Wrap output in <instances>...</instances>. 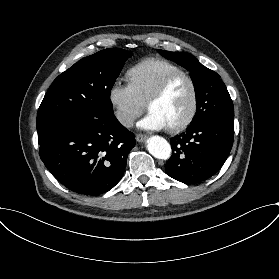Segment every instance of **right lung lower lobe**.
<instances>
[{
    "label": "right lung lower lobe",
    "instance_id": "right-lung-lower-lobe-1",
    "mask_svg": "<svg viewBox=\"0 0 279 279\" xmlns=\"http://www.w3.org/2000/svg\"><path fill=\"white\" fill-rule=\"evenodd\" d=\"M39 154L47 169L69 190L100 195L122 178L133 133L115 118L49 120L38 129Z\"/></svg>",
    "mask_w": 279,
    "mask_h": 279
}]
</instances>
